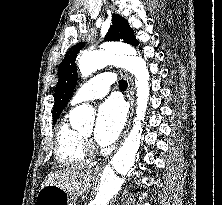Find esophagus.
I'll list each match as a JSON object with an SVG mask.
<instances>
[{"instance_id": "esophagus-1", "label": "esophagus", "mask_w": 222, "mask_h": 205, "mask_svg": "<svg viewBox=\"0 0 222 205\" xmlns=\"http://www.w3.org/2000/svg\"><path fill=\"white\" fill-rule=\"evenodd\" d=\"M122 75L126 78V80L128 82L127 98L130 103V110H129V114H128V119H127V123H126L125 130H124V136H126L128 130H129V127L131 125V118H132V113H133L134 86H133V80L127 72L123 71Z\"/></svg>"}]
</instances>
